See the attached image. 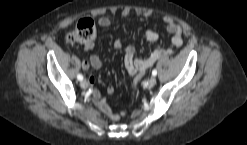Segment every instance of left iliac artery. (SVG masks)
Returning <instances> with one entry per match:
<instances>
[{
    "label": "left iliac artery",
    "mask_w": 247,
    "mask_h": 145,
    "mask_svg": "<svg viewBox=\"0 0 247 145\" xmlns=\"http://www.w3.org/2000/svg\"><path fill=\"white\" fill-rule=\"evenodd\" d=\"M152 75H153V76H156V75H157V70H156V69H154V70L152 71Z\"/></svg>",
    "instance_id": "left-iliac-artery-1"
}]
</instances>
